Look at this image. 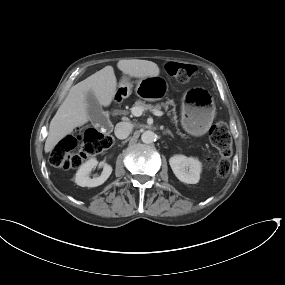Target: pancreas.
<instances>
[{
  "mask_svg": "<svg viewBox=\"0 0 285 285\" xmlns=\"http://www.w3.org/2000/svg\"><path fill=\"white\" fill-rule=\"evenodd\" d=\"M135 105L138 106V107H141V108L143 109V111H147V110H150V111H153V110H160L162 107H164L165 109H168V106H169V105L175 107V104H174L173 100H168V101H166L165 103L162 102V103L156 104V105L145 104L144 102L139 101V102H136ZM171 113L174 115L173 120H174V122L177 124V116H176L175 108H173L171 111H169V115H170Z\"/></svg>",
  "mask_w": 285,
  "mask_h": 285,
  "instance_id": "obj_1",
  "label": "pancreas"
}]
</instances>
